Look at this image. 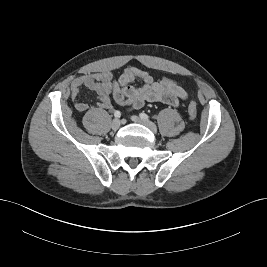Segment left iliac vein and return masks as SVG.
<instances>
[{"label": "left iliac vein", "instance_id": "left-iliac-vein-1", "mask_svg": "<svg viewBox=\"0 0 267 267\" xmlns=\"http://www.w3.org/2000/svg\"><path fill=\"white\" fill-rule=\"evenodd\" d=\"M132 121L139 123V124H143L145 125L147 128H149L153 133L157 132V127L154 123H152L151 121L148 120H144L139 118L138 116H132Z\"/></svg>", "mask_w": 267, "mask_h": 267}]
</instances>
